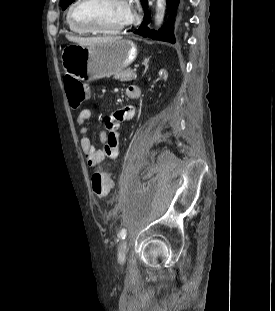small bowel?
I'll return each mask as SVG.
<instances>
[{
	"mask_svg": "<svg viewBox=\"0 0 275 311\" xmlns=\"http://www.w3.org/2000/svg\"><path fill=\"white\" fill-rule=\"evenodd\" d=\"M127 96L131 100H137L141 96V91L136 86H130L127 89ZM134 114L135 108L132 105H128L116 110L109 116L105 122V130L99 132L102 147L97 149L88 137L87 121L91 116V111L89 109H83L79 112L76 118V124L80 135V146L89 166H96L107 157L116 158L118 156L120 125L122 122L132 119Z\"/></svg>",
	"mask_w": 275,
	"mask_h": 311,
	"instance_id": "1",
	"label": "small bowel"
}]
</instances>
